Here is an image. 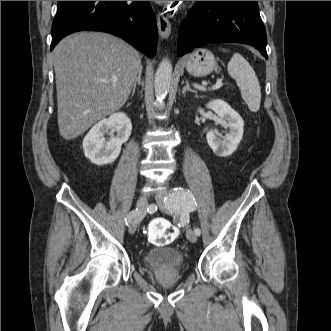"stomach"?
Instances as JSON below:
<instances>
[{"label":"stomach","instance_id":"1","mask_svg":"<svg viewBox=\"0 0 331 331\" xmlns=\"http://www.w3.org/2000/svg\"><path fill=\"white\" fill-rule=\"evenodd\" d=\"M185 65L189 74L203 77L216 68V60L212 52L199 48L188 56Z\"/></svg>","mask_w":331,"mask_h":331}]
</instances>
